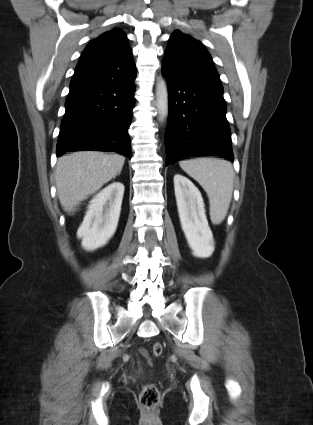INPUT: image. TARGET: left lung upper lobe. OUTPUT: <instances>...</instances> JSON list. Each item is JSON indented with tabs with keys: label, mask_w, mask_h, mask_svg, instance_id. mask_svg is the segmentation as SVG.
Masks as SVG:
<instances>
[{
	"label": "left lung upper lobe",
	"mask_w": 313,
	"mask_h": 425,
	"mask_svg": "<svg viewBox=\"0 0 313 425\" xmlns=\"http://www.w3.org/2000/svg\"><path fill=\"white\" fill-rule=\"evenodd\" d=\"M164 60L190 75L220 80L203 44L179 30L171 35Z\"/></svg>",
	"instance_id": "1"
}]
</instances>
